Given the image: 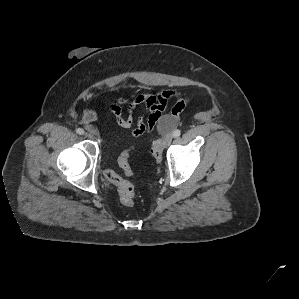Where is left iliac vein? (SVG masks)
<instances>
[{
  "mask_svg": "<svg viewBox=\"0 0 299 299\" xmlns=\"http://www.w3.org/2000/svg\"><path fill=\"white\" fill-rule=\"evenodd\" d=\"M172 139H173V135L171 133L167 134L164 139H163V144L164 146H169L172 142Z\"/></svg>",
  "mask_w": 299,
  "mask_h": 299,
  "instance_id": "left-iliac-vein-1",
  "label": "left iliac vein"
}]
</instances>
